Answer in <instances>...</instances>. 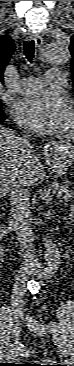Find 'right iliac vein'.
I'll return each instance as SVG.
<instances>
[{
	"mask_svg": "<svg viewBox=\"0 0 74 366\" xmlns=\"http://www.w3.org/2000/svg\"><path fill=\"white\" fill-rule=\"evenodd\" d=\"M23 322V315L20 312H14L13 313V334L18 337L21 325Z\"/></svg>",
	"mask_w": 74,
	"mask_h": 366,
	"instance_id": "63e3f726",
	"label": "right iliac vein"
}]
</instances>
